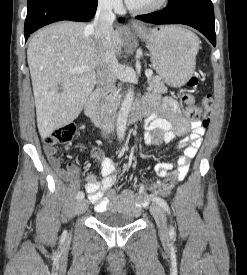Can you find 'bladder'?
Wrapping results in <instances>:
<instances>
[{"mask_svg":"<svg viewBox=\"0 0 247 275\" xmlns=\"http://www.w3.org/2000/svg\"><path fill=\"white\" fill-rule=\"evenodd\" d=\"M96 220L104 226L114 228L132 225L137 221V218L130 213L107 209L97 211Z\"/></svg>","mask_w":247,"mask_h":275,"instance_id":"obj_1","label":"bladder"}]
</instances>
